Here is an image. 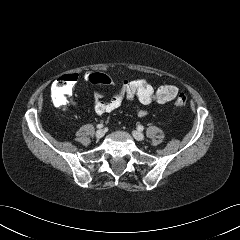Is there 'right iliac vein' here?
Listing matches in <instances>:
<instances>
[{"mask_svg": "<svg viewBox=\"0 0 240 240\" xmlns=\"http://www.w3.org/2000/svg\"><path fill=\"white\" fill-rule=\"evenodd\" d=\"M104 135H105V131H104L103 129L97 130V131H96V134H95V136H96L98 139L102 138Z\"/></svg>", "mask_w": 240, "mask_h": 240, "instance_id": "obj_1", "label": "right iliac vein"}]
</instances>
